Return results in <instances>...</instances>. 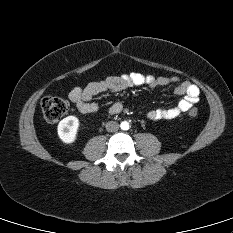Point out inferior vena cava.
<instances>
[{"instance_id":"602c4592","label":"inferior vena cava","mask_w":233,"mask_h":233,"mask_svg":"<svg viewBox=\"0 0 233 233\" xmlns=\"http://www.w3.org/2000/svg\"><path fill=\"white\" fill-rule=\"evenodd\" d=\"M108 132H116L119 129V124L115 121H109L105 125Z\"/></svg>"}]
</instances>
